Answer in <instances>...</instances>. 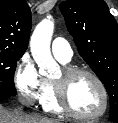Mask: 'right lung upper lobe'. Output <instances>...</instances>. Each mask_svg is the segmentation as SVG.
I'll list each match as a JSON object with an SVG mask.
<instances>
[{
	"instance_id": "right-lung-upper-lobe-1",
	"label": "right lung upper lobe",
	"mask_w": 118,
	"mask_h": 123,
	"mask_svg": "<svg viewBox=\"0 0 118 123\" xmlns=\"http://www.w3.org/2000/svg\"><path fill=\"white\" fill-rule=\"evenodd\" d=\"M31 30V11L23 0H0V50L24 54Z\"/></svg>"
}]
</instances>
